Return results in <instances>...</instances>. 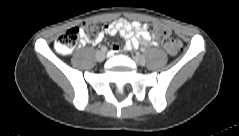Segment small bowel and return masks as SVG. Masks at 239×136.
Returning <instances> with one entry per match:
<instances>
[{"label":"small bowel","mask_w":239,"mask_h":136,"mask_svg":"<svg viewBox=\"0 0 239 136\" xmlns=\"http://www.w3.org/2000/svg\"><path fill=\"white\" fill-rule=\"evenodd\" d=\"M117 34L125 39V43L122 47L123 50L130 51L136 49L140 44L156 45V42L153 40L146 24H141L137 21L131 22L123 18L106 25L104 32H102L96 39L92 40L84 35L83 42L95 45L99 44L105 35L114 36ZM120 49L121 48L118 45H113L110 53L115 54Z\"/></svg>","instance_id":"1"}]
</instances>
